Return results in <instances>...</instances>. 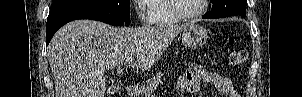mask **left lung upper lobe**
Wrapping results in <instances>:
<instances>
[{"mask_svg":"<svg viewBox=\"0 0 302 97\" xmlns=\"http://www.w3.org/2000/svg\"><path fill=\"white\" fill-rule=\"evenodd\" d=\"M214 9L211 14L217 18L240 15L246 16V0H211Z\"/></svg>","mask_w":302,"mask_h":97,"instance_id":"1","label":"left lung upper lobe"}]
</instances>
